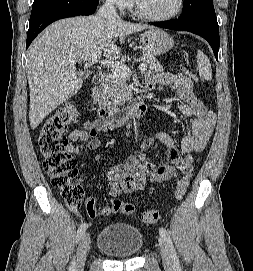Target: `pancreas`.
<instances>
[{"label":"pancreas","mask_w":253,"mask_h":271,"mask_svg":"<svg viewBox=\"0 0 253 271\" xmlns=\"http://www.w3.org/2000/svg\"><path fill=\"white\" fill-rule=\"evenodd\" d=\"M142 63L147 66L149 71H163V67L159 61L147 51H143ZM128 95L126 77L112 71L105 76L99 91L96 93L95 100L100 106L110 109L125 101Z\"/></svg>","instance_id":"obj_1"}]
</instances>
